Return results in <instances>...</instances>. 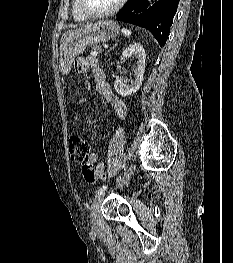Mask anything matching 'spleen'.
Returning a JSON list of instances; mask_svg holds the SVG:
<instances>
[{
    "mask_svg": "<svg viewBox=\"0 0 233 263\" xmlns=\"http://www.w3.org/2000/svg\"><path fill=\"white\" fill-rule=\"evenodd\" d=\"M121 32L123 33V35L125 36V37H130V35H131V30H129V29H125V28H123L122 30H121Z\"/></svg>",
    "mask_w": 233,
    "mask_h": 263,
    "instance_id": "3e777b00",
    "label": "spleen"
}]
</instances>
